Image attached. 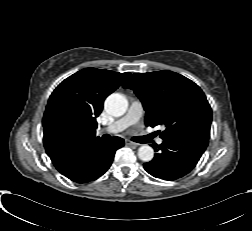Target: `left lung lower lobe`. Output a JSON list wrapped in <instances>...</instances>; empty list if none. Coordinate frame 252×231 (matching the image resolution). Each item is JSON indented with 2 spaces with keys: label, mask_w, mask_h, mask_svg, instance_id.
<instances>
[{
  "label": "left lung lower lobe",
  "mask_w": 252,
  "mask_h": 231,
  "mask_svg": "<svg viewBox=\"0 0 252 231\" xmlns=\"http://www.w3.org/2000/svg\"><path fill=\"white\" fill-rule=\"evenodd\" d=\"M208 140L198 135H182L155 145V157L145 170L156 178L175 180L188 174L205 151Z\"/></svg>",
  "instance_id": "0a47b994"
}]
</instances>
